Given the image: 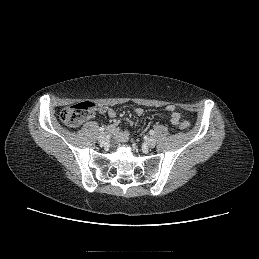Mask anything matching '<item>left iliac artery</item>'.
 <instances>
[{"label":"left iliac artery","instance_id":"left-iliac-artery-1","mask_svg":"<svg viewBox=\"0 0 259 259\" xmlns=\"http://www.w3.org/2000/svg\"><path fill=\"white\" fill-rule=\"evenodd\" d=\"M149 133H150V135H153L154 134V130H150Z\"/></svg>","mask_w":259,"mask_h":259}]
</instances>
